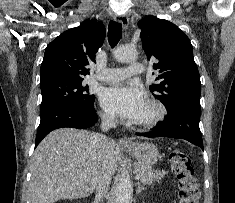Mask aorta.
<instances>
[{
    "label": "aorta",
    "instance_id": "aorta-1",
    "mask_svg": "<svg viewBox=\"0 0 235 203\" xmlns=\"http://www.w3.org/2000/svg\"><path fill=\"white\" fill-rule=\"evenodd\" d=\"M114 58L120 63L132 62L137 59L136 49L129 46H118L114 50ZM132 193V184L130 176L124 174L121 176L116 189V203H130Z\"/></svg>",
    "mask_w": 235,
    "mask_h": 203
}]
</instances>
